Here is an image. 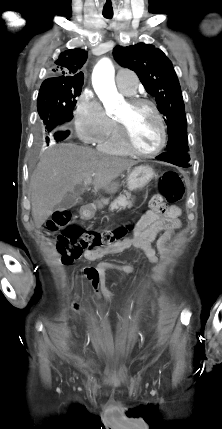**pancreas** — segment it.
I'll use <instances>...</instances> for the list:
<instances>
[{"mask_svg": "<svg viewBox=\"0 0 222 429\" xmlns=\"http://www.w3.org/2000/svg\"><path fill=\"white\" fill-rule=\"evenodd\" d=\"M126 207H132V201H130V196L121 195L111 204L110 210L122 209Z\"/></svg>", "mask_w": 222, "mask_h": 429, "instance_id": "1", "label": "pancreas"}]
</instances>
